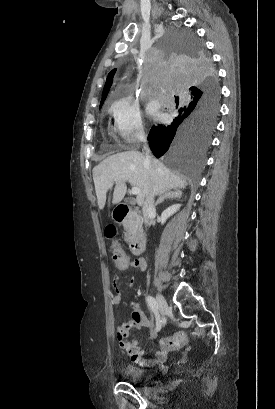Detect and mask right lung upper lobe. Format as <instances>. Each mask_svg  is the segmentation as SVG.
<instances>
[{"instance_id":"obj_1","label":"right lung upper lobe","mask_w":275,"mask_h":409,"mask_svg":"<svg viewBox=\"0 0 275 409\" xmlns=\"http://www.w3.org/2000/svg\"><path fill=\"white\" fill-rule=\"evenodd\" d=\"M115 72H116V69H113L107 76V80H106V83H105V86H104V89H103V94H102L100 107L103 105L104 100L107 97V94H108L109 89H110V87L112 85V82H113V76H114ZM190 91H191V94H192L195 90H193L192 87H191Z\"/></svg>"}]
</instances>
